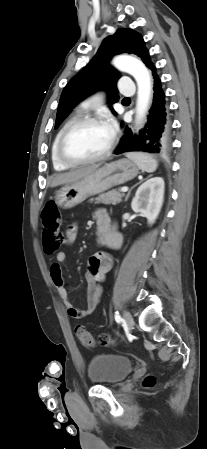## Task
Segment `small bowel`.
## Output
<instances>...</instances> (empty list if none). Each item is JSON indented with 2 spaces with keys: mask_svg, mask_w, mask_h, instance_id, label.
<instances>
[{
  "mask_svg": "<svg viewBox=\"0 0 207 449\" xmlns=\"http://www.w3.org/2000/svg\"><path fill=\"white\" fill-rule=\"evenodd\" d=\"M95 220L97 225H100L105 230L103 235L99 237V243L112 248L118 247L120 237L114 231V222L107 211L104 209L96 210ZM76 235L77 226L75 224L68 225L66 230V245H72L76 239ZM66 259L67 257L64 252L57 253L55 262L50 267V275L68 315L74 319H83L94 312L100 303L102 296L101 282L105 280L106 274L111 268L112 259L105 253H96L90 257L86 271L88 303L84 309L76 308L69 298L62 272V264Z\"/></svg>",
  "mask_w": 207,
  "mask_h": 449,
  "instance_id": "1",
  "label": "small bowel"
}]
</instances>
